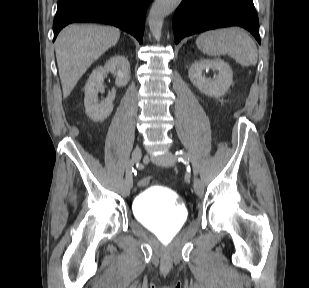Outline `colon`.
<instances>
[{"mask_svg": "<svg viewBox=\"0 0 309 288\" xmlns=\"http://www.w3.org/2000/svg\"><path fill=\"white\" fill-rule=\"evenodd\" d=\"M152 182V178L149 176L143 177L138 181L140 187H146Z\"/></svg>", "mask_w": 309, "mask_h": 288, "instance_id": "1", "label": "colon"}]
</instances>
